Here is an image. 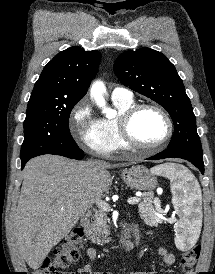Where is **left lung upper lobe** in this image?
Returning a JSON list of instances; mask_svg holds the SVG:
<instances>
[{
	"mask_svg": "<svg viewBox=\"0 0 215 274\" xmlns=\"http://www.w3.org/2000/svg\"><path fill=\"white\" fill-rule=\"evenodd\" d=\"M114 72L123 85L159 103L170 114L175 131L169 149L202 153L190 99L164 54L147 47L126 51L115 61Z\"/></svg>",
	"mask_w": 215,
	"mask_h": 274,
	"instance_id": "left-lung-upper-lobe-1",
	"label": "left lung upper lobe"
}]
</instances>
